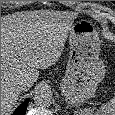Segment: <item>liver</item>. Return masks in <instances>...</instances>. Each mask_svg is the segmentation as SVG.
<instances>
[{
  "instance_id": "liver-1",
  "label": "liver",
  "mask_w": 115,
  "mask_h": 115,
  "mask_svg": "<svg viewBox=\"0 0 115 115\" xmlns=\"http://www.w3.org/2000/svg\"><path fill=\"white\" fill-rule=\"evenodd\" d=\"M71 27L62 15L20 12L1 17V115H9L20 95L17 81L27 91L39 77L38 69L52 66L61 56Z\"/></svg>"
}]
</instances>
